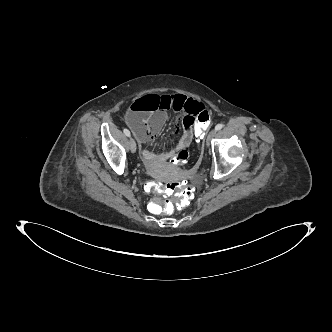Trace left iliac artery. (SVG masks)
Returning a JSON list of instances; mask_svg holds the SVG:
<instances>
[{"label":"left iliac artery","instance_id":"1","mask_svg":"<svg viewBox=\"0 0 332 332\" xmlns=\"http://www.w3.org/2000/svg\"><path fill=\"white\" fill-rule=\"evenodd\" d=\"M223 128V124H217L216 126H215V130L216 131H219V130H221Z\"/></svg>","mask_w":332,"mask_h":332}]
</instances>
